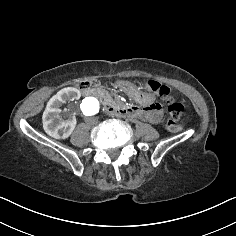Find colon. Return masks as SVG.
Here are the masks:
<instances>
[{
    "label": "colon",
    "instance_id": "colon-1",
    "mask_svg": "<svg viewBox=\"0 0 236 236\" xmlns=\"http://www.w3.org/2000/svg\"><path fill=\"white\" fill-rule=\"evenodd\" d=\"M94 82H81L79 88H87L93 85ZM146 89L152 91L163 98L168 104L169 120L167 122V129L172 132H177L181 129L178 124L179 119L183 115L184 106L181 102L177 101L168 86L161 84L158 81L150 80L145 83Z\"/></svg>",
    "mask_w": 236,
    "mask_h": 236
}]
</instances>
